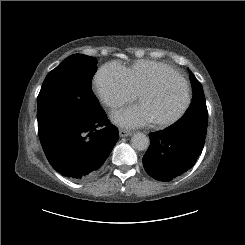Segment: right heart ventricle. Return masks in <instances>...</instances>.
<instances>
[{
	"label": "right heart ventricle",
	"instance_id": "1",
	"mask_svg": "<svg viewBox=\"0 0 245 245\" xmlns=\"http://www.w3.org/2000/svg\"><path fill=\"white\" fill-rule=\"evenodd\" d=\"M169 65L151 60H139L126 68L129 79L137 94L146 86L152 84L158 74L170 69Z\"/></svg>",
	"mask_w": 245,
	"mask_h": 245
}]
</instances>
